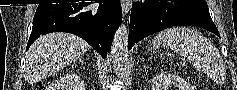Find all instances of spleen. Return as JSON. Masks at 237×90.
I'll list each match as a JSON object with an SVG mask.
<instances>
[{"label": "spleen", "instance_id": "obj_1", "mask_svg": "<svg viewBox=\"0 0 237 90\" xmlns=\"http://www.w3.org/2000/svg\"><path fill=\"white\" fill-rule=\"evenodd\" d=\"M168 46L202 72H210V68H215L217 64L218 52L215 46L192 28L178 26L159 32L153 40V48H168Z\"/></svg>", "mask_w": 237, "mask_h": 90}]
</instances>
